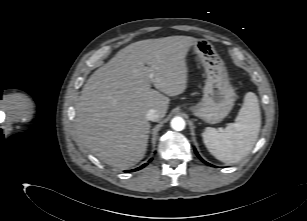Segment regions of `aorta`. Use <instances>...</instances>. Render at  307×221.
<instances>
[{"label": "aorta", "instance_id": "1", "mask_svg": "<svg viewBox=\"0 0 307 221\" xmlns=\"http://www.w3.org/2000/svg\"><path fill=\"white\" fill-rule=\"evenodd\" d=\"M170 125L172 129L176 131H182L185 128L186 123L182 117L177 116L171 120Z\"/></svg>", "mask_w": 307, "mask_h": 221}]
</instances>
